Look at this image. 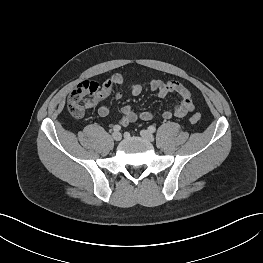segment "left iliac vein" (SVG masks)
I'll use <instances>...</instances> for the list:
<instances>
[{
  "instance_id": "1",
  "label": "left iliac vein",
  "mask_w": 263,
  "mask_h": 263,
  "mask_svg": "<svg viewBox=\"0 0 263 263\" xmlns=\"http://www.w3.org/2000/svg\"><path fill=\"white\" fill-rule=\"evenodd\" d=\"M140 135H141L142 138H144V139H146V140H148L150 142L154 141L153 134L150 131H148V130H141L140 131Z\"/></svg>"
}]
</instances>
